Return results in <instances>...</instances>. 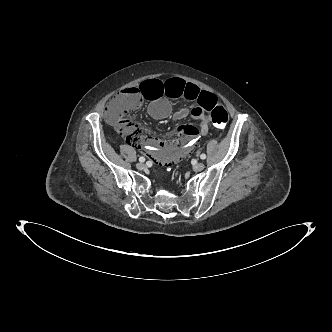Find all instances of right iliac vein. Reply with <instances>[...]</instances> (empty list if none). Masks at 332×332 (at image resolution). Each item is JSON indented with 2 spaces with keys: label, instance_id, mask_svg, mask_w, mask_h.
Listing matches in <instances>:
<instances>
[{
  "label": "right iliac vein",
  "instance_id": "obj_1",
  "mask_svg": "<svg viewBox=\"0 0 332 332\" xmlns=\"http://www.w3.org/2000/svg\"><path fill=\"white\" fill-rule=\"evenodd\" d=\"M136 167H137V169H139V170H143V169L145 168V164L142 163V162H138V163L136 164Z\"/></svg>",
  "mask_w": 332,
  "mask_h": 332
}]
</instances>
